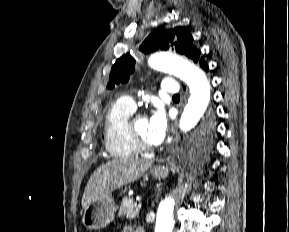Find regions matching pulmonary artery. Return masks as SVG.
Listing matches in <instances>:
<instances>
[{"label":"pulmonary artery","instance_id":"obj_1","mask_svg":"<svg viewBox=\"0 0 289 232\" xmlns=\"http://www.w3.org/2000/svg\"><path fill=\"white\" fill-rule=\"evenodd\" d=\"M161 89L167 94H177L179 92V84L172 78H166L161 83ZM121 99L125 101L132 109H135L136 105L132 97L124 96Z\"/></svg>","mask_w":289,"mask_h":232}]
</instances>
